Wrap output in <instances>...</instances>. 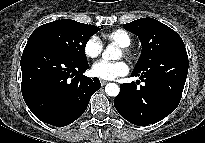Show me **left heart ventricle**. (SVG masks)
<instances>
[{
    "label": "left heart ventricle",
    "mask_w": 205,
    "mask_h": 143,
    "mask_svg": "<svg viewBox=\"0 0 205 143\" xmlns=\"http://www.w3.org/2000/svg\"><path fill=\"white\" fill-rule=\"evenodd\" d=\"M121 56H122V52L119 53L118 57H121Z\"/></svg>",
    "instance_id": "obj_1"
}]
</instances>
